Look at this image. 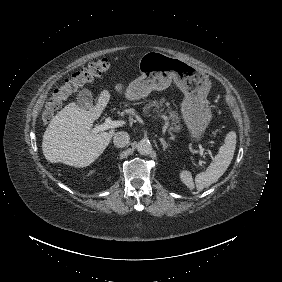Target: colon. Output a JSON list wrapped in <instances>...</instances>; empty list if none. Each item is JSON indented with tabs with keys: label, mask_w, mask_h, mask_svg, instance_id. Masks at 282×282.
<instances>
[{
	"label": "colon",
	"mask_w": 282,
	"mask_h": 282,
	"mask_svg": "<svg viewBox=\"0 0 282 282\" xmlns=\"http://www.w3.org/2000/svg\"><path fill=\"white\" fill-rule=\"evenodd\" d=\"M110 68V60L106 57L94 59L87 68L73 74L71 78L62 86L58 87L54 94L47 101L42 114L41 122L48 125L54 114L61 108L62 103L76 90L98 77L106 73Z\"/></svg>",
	"instance_id": "colon-1"
}]
</instances>
